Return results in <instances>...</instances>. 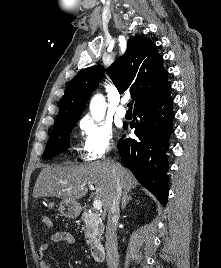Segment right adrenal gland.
Returning <instances> with one entry per match:
<instances>
[{
	"instance_id": "1",
	"label": "right adrenal gland",
	"mask_w": 221,
	"mask_h": 268,
	"mask_svg": "<svg viewBox=\"0 0 221 268\" xmlns=\"http://www.w3.org/2000/svg\"><path fill=\"white\" fill-rule=\"evenodd\" d=\"M132 191L124 190L122 193L121 209L124 210L130 200H132Z\"/></svg>"
}]
</instances>
